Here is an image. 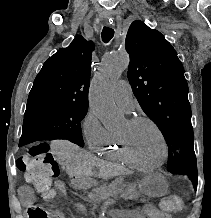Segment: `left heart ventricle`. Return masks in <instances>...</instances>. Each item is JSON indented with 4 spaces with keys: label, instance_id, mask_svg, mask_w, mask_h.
Masks as SVG:
<instances>
[{
    "label": "left heart ventricle",
    "instance_id": "1",
    "mask_svg": "<svg viewBox=\"0 0 211 218\" xmlns=\"http://www.w3.org/2000/svg\"><path fill=\"white\" fill-rule=\"evenodd\" d=\"M126 136L134 156L147 164L158 163L162 158V146L156 130L148 123L130 125L126 120L118 131Z\"/></svg>",
    "mask_w": 211,
    "mask_h": 218
}]
</instances>
